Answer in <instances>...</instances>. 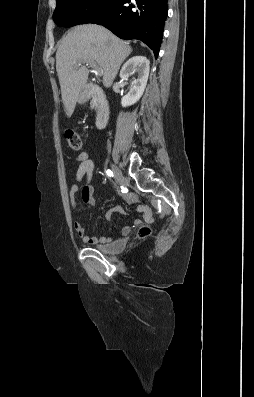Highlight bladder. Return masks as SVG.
<instances>
[{"label":"bladder","mask_w":254,"mask_h":397,"mask_svg":"<svg viewBox=\"0 0 254 397\" xmlns=\"http://www.w3.org/2000/svg\"><path fill=\"white\" fill-rule=\"evenodd\" d=\"M125 248V242L122 240L114 241L106 245L97 246L96 249L104 254H116Z\"/></svg>","instance_id":"bladder-1"}]
</instances>
